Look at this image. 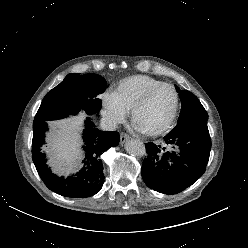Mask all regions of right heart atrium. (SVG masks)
<instances>
[{"label":"right heart atrium","mask_w":248,"mask_h":248,"mask_svg":"<svg viewBox=\"0 0 248 248\" xmlns=\"http://www.w3.org/2000/svg\"><path fill=\"white\" fill-rule=\"evenodd\" d=\"M101 102L102 113L110 123L118 125L126 120L128 112L118 103L113 93H103Z\"/></svg>","instance_id":"right-heart-atrium-1"}]
</instances>
